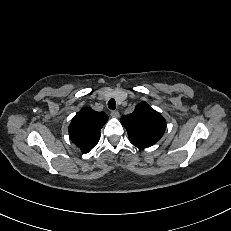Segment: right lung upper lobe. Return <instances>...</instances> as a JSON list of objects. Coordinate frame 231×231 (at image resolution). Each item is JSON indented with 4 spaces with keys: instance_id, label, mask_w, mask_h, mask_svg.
<instances>
[{
    "instance_id": "1",
    "label": "right lung upper lobe",
    "mask_w": 231,
    "mask_h": 231,
    "mask_svg": "<svg viewBox=\"0 0 231 231\" xmlns=\"http://www.w3.org/2000/svg\"><path fill=\"white\" fill-rule=\"evenodd\" d=\"M107 120L108 116L104 112H96L88 107L82 108L69 125V136L72 142L83 153H88L97 145L100 130Z\"/></svg>"
}]
</instances>
